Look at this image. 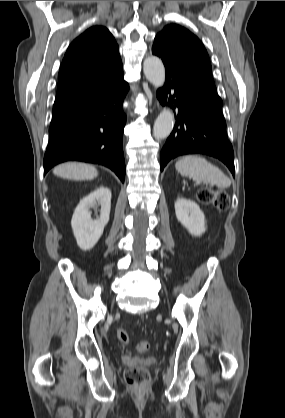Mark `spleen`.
<instances>
[{"instance_id":"3e777b00","label":"spleen","mask_w":285,"mask_h":418,"mask_svg":"<svg viewBox=\"0 0 285 418\" xmlns=\"http://www.w3.org/2000/svg\"><path fill=\"white\" fill-rule=\"evenodd\" d=\"M175 168L182 176L190 177L196 182L213 184L219 188L231 185V180L218 167L200 156H184L176 162Z\"/></svg>"}]
</instances>
